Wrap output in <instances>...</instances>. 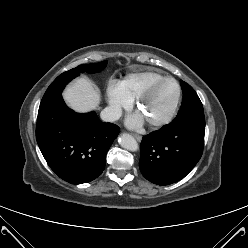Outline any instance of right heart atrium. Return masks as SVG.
<instances>
[{"instance_id":"d8ad5b80","label":"right heart atrium","mask_w":248,"mask_h":248,"mask_svg":"<svg viewBox=\"0 0 248 248\" xmlns=\"http://www.w3.org/2000/svg\"><path fill=\"white\" fill-rule=\"evenodd\" d=\"M107 99L112 117H117L121 110L131 104L129 99L122 90L121 83L110 80L107 86Z\"/></svg>"}]
</instances>
